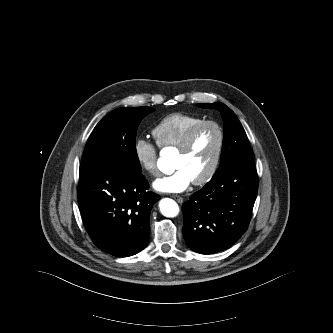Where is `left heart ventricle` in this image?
<instances>
[{
    "mask_svg": "<svg viewBox=\"0 0 333 333\" xmlns=\"http://www.w3.org/2000/svg\"><path fill=\"white\" fill-rule=\"evenodd\" d=\"M218 134L214 127L207 126L197 135L193 147L186 154L177 153L174 167L183 168L192 180L200 178L210 167L215 156Z\"/></svg>",
    "mask_w": 333,
    "mask_h": 333,
    "instance_id": "b2bd125f",
    "label": "left heart ventricle"
}]
</instances>
